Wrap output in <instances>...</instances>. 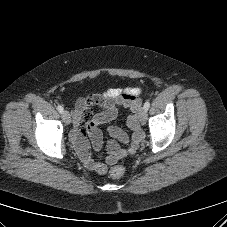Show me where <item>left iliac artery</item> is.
Wrapping results in <instances>:
<instances>
[{
  "label": "left iliac artery",
  "mask_w": 227,
  "mask_h": 227,
  "mask_svg": "<svg viewBox=\"0 0 227 227\" xmlns=\"http://www.w3.org/2000/svg\"><path fill=\"white\" fill-rule=\"evenodd\" d=\"M150 107V102L149 101H146L145 104H144V109L147 111Z\"/></svg>",
  "instance_id": "obj_1"
}]
</instances>
